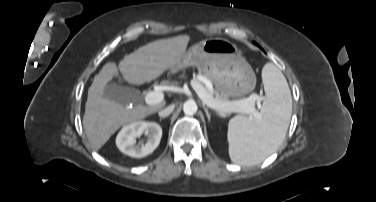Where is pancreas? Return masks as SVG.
Instances as JSON below:
<instances>
[{
	"label": "pancreas",
	"instance_id": "pancreas-1",
	"mask_svg": "<svg viewBox=\"0 0 376 202\" xmlns=\"http://www.w3.org/2000/svg\"><path fill=\"white\" fill-rule=\"evenodd\" d=\"M206 91L209 94H211V95H215V99L216 100H219V101H230L228 97L221 95L218 91L214 92V91H211L209 89H206ZM241 100H243V99H241Z\"/></svg>",
	"mask_w": 376,
	"mask_h": 202
}]
</instances>
